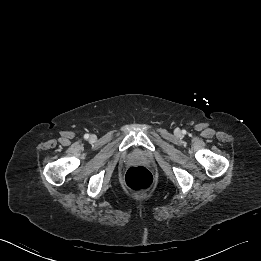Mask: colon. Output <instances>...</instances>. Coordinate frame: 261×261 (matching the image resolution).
Returning <instances> with one entry per match:
<instances>
[{
    "instance_id": "obj_1",
    "label": "colon",
    "mask_w": 261,
    "mask_h": 261,
    "mask_svg": "<svg viewBox=\"0 0 261 261\" xmlns=\"http://www.w3.org/2000/svg\"><path fill=\"white\" fill-rule=\"evenodd\" d=\"M152 184L153 175L143 166L129 168L124 176V186L132 192L146 191Z\"/></svg>"
}]
</instances>
